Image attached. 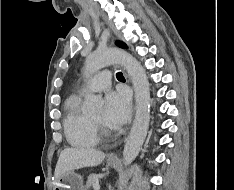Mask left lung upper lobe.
Listing matches in <instances>:
<instances>
[{
  "instance_id": "1",
  "label": "left lung upper lobe",
  "mask_w": 234,
  "mask_h": 190,
  "mask_svg": "<svg viewBox=\"0 0 234 190\" xmlns=\"http://www.w3.org/2000/svg\"><path fill=\"white\" fill-rule=\"evenodd\" d=\"M116 44L121 48H127L126 44L121 41H117Z\"/></svg>"
}]
</instances>
